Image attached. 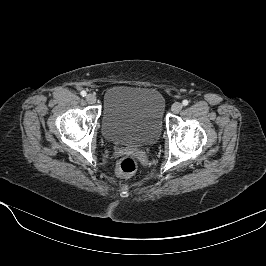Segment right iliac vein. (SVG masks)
Masks as SVG:
<instances>
[{
  "instance_id": "63e3f726",
  "label": "right iliac vein",
  "mask_w": 266,
  "mask_h": 266,
  "mask_svg": "<svg viewBox=\"0 0 266 266\" xmlns=\"http://www.w3.org/2000/svg\"><path fill=\"white\" fill-rule=\"evenodd\" d=\"M86 101L89 103V104H94L96 102V96L94 94H88L86 96Z\"/></svg>"
}]
</instances>
